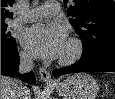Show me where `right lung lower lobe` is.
Instances as JSON below:
<instances>
[{"mask_svg":"<svg viewBox=\"0 0 115 99\" xmlns=\"http://www.w3.org/2000/svg\"><path fill=\"white\" fill-rule=\"evenodd\" d=\"M19 54L17 51L16 42L9 45H1V75L19 76L23 81L35 84L36 79L32 73L20 75L18 73Z\"/></svg>","mask_w":115,"mask_h":99,"instance_id":"right-lung-lower-lobe-1","label":"right lung lower lobe"}]
</instances>
